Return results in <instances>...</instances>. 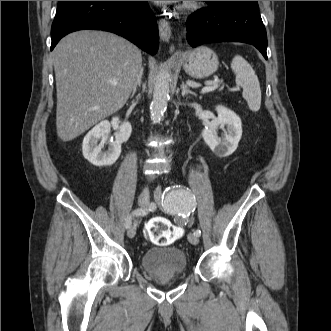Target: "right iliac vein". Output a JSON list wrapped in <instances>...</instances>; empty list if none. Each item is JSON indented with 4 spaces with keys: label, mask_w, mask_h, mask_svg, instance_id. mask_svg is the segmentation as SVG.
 Returning <instances> with one entry per match:
<instances>
[{
    "label": "right iliac vein",
    "mask_w": 331,
    "mask_h": 331,
    "mask_svg": "<svg viewBox=\"0 0 331 331\" xmlns=\"http://www.w3.org/2000/svg\"><path fill=\"white\" fill-rule=\"evenodd\" d=\"M138 204L141 209L145 208L149 204V190L145 187L139 195ZM137 223L131 225V227L127 231V235L129 238H133L136 234Z\"/></svg>",
    "instance_id": "obj_1"
}]
</instances>
